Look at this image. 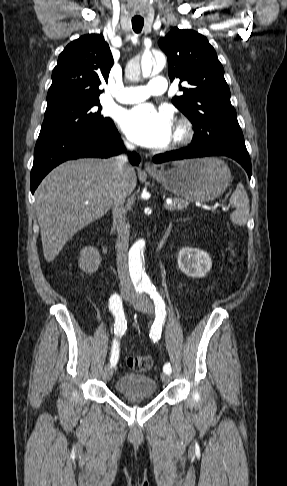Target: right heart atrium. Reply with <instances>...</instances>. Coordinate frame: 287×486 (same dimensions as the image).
<instances>
[{
  "mask_svg": "<svg viewBox=\"0 0 287 486\" xmlns=\"http://www.w3.org/2000/svg\"><path fill=\"white\" fill-rule=\"evenodd\" d=\"M125 143H126L127 145H129V143H128V142H125Z\"/></svg>",
  "mask_w": 287,
  "mask_h": 486,
  "instance_id": "right-heart-atrium-1",
  "label": "right heart atrium"
}]
</instances>
